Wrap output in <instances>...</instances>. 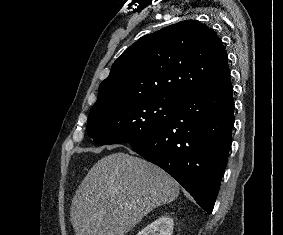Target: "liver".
I'll list each match as a JSON object with an SVG mask.
<instances>
[{"label": "liver", "mask_w": 283, "mask_h": 235, "mask_svg": "<svg viewBox=\"0 0 283 235\" xmlns=\"http://www.w3.org/2000/svg\"><path fill=\"white\" fill-rule=\"evenodd\" d=\"M178 195V183L160 167L130 154L112 153L98 160L81 182L70 220L76 235H125L154 208Z\"/></svg>", "instance_id": "6515ba94"}]
</instances>
